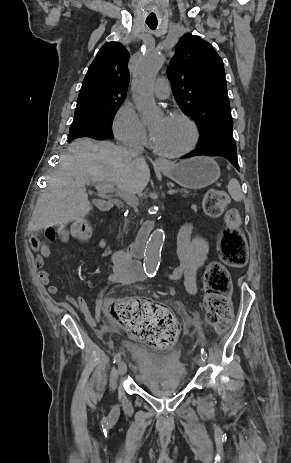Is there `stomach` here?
Segmentation results:
<instances>
[{
	"mask_svg": "<svg viewBox=\"0 0 291 463\" xmlns=\"http://www.w3.org/2000/svg\"><path fill=\"white\" fill-rule=\"evenodd\" d=\"M164 175L189 189L205 188L220 177V168L211 157L199 156L161 167Z\"/></svg>",
	"mask_w": 291,
	"mask_h": 463,
	"instance_id": "stomach-1",
	"label": "stomach"
}]
</instances>
